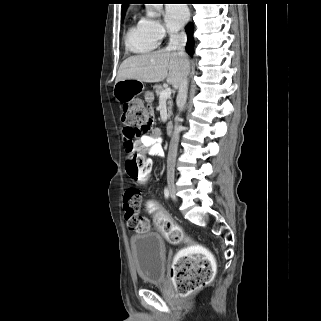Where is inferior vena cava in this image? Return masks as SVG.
Masks as SVG:
<instances>
[{
  "mask_svg": "<svg viewBox=\"0 0 321 321\" xmlns=\"http://www.w3.org/2000/svg\"><path fill=\"white\" fill-rule=\"evenodd\" d=\"M169 37H170V42L167 48L169 50L177 51L178 54L183 58L186 57V53H185V45L187 42L186 33L170 32ZM187 76H188V70L185 69L182 79L180 80V83L178 85V94H177L176 102H177L179 111H182L184 109L186 100H187V94H188ZM179 121L180 119L177 116L175 118L174 131L171 137L168 158H167V175H172V176L174 175V168H175L177 149H178V143H179V134L181 131Z\"/></svg>",
  "mask_w": 321,
  "mask_h": 321,
  "instance_id": "obj_1",
  "label": "inferior vena cava"
}]
</instances>
